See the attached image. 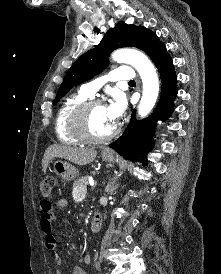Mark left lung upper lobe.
Returning a JSON list of instances; mask_svg holds the SVG:
<instances>
[{"label":"left lung upper lobe","mask_w":221,"mask_h":274,"mask_svg":"<svg viewBox=\"0 0 221 274\" xmlns=\"http://www.w3.org/2000/svg\"><path fill=\"white\" fill-rule=\"evenodd\" d=\"M163 43L157 35L144 26L136 27L120 21L109 29L101 42L92 50L83 54L69 69L54 100L56 104L73 86L99 74L108 64L110 53L122 47H136L148 55Z\"/></svg>","instance_id":"left-lung-upper-lobe-1"}]
</instances>
